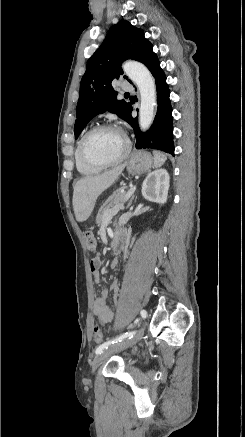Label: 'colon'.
Instances as JSON below:
<instances>
[{
  "instance_id": "colon-1",
  "label": "colon",
  "mask_w": 245,
  "mask_h": 437,
  "mask_svg": "<svg viewBox=\"0 0 245 437\" xmlns=\"http://www.w3.org/2000/svg\"><path fill=\"white\" fill-rule=\"evenodd\" d=\"M86 245L90 251H94L96 249L97 242L91 232H86ZM93 339L96 343H100L103 340V333L98 326H96L94 329Z\"/></svg>"
}]
</instances>
